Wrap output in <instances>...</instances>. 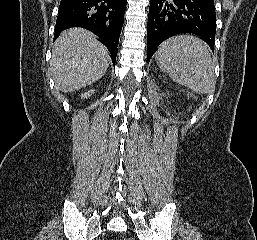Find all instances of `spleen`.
I'll list each match as a JSON object with an SVG mask.
<instances>
[{
	"label": "spleen",
	"instance_id": "3e777b00",
	"mask_svg": "<svg viewBox=\"0 0 257 240\" xmlns=\"http://www.w3.org/2000/svg\"><path fill=\"white\" fill-rule=\"evenodd\" d=\"M155 57L158 67L174 82L198 94L214 91V64L207 45L198 37H171L159 46Z\"/></svg>",
	"mask_w": 257,
	"mask_h": 240
}]
</instances>
